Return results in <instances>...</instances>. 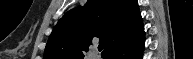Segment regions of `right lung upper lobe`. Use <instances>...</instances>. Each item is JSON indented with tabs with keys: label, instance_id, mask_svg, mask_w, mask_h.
Instances as JSON below:
<instances>
[{
	"label": "right lung upper lobe",
	"instance_id": "right-lung-upper-lobe-1",
	"mask_svg": "<svg viewBox=\"0 0 193 59\" xmlns=\"http://www.w3.org/2000/svg\"><path fill=\"white\" fill-rule=\"evenodd\" d=\"M143 29L137 0H87L58 21L44 59H83L96 37L104 45L105 57Z\"/></svg>",
	"mask_w": 193,
	"mask_h": 59
}]
</instances>
